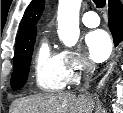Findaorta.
<instances>
[{"label": "aorta", "mask_w": 123, "mask_h": 113, "mask_svg": "<svg viewBox=\"0 0 123 113\" xmlns=\"http://www.w3.org/2000/svg\"><path fill=\"white\" fill-rule=\"evenodd\" d=\"M81 0H59L58 36L67 47H73L79 39V10Z\"/></svg>", "instance_id": "aorta-1"}]
</instances>
